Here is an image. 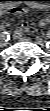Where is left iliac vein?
Instances as JSON below:
<instances>
[{"label": "left iliac vein", "mask_w": 50, "mask_h": 111, "mask_svg": "<svg viewBox=\"0 0 50 111\" xmlns=\"http://www.w3.org/2000/svg\"><path fill=\"white\" fill-rule=\"evenodd\" d=\"M37 42H38V44H43L44 43V41L41 38H38Z\"/></svg>", "instance_id": "4c4485c4"}]
</instances>
